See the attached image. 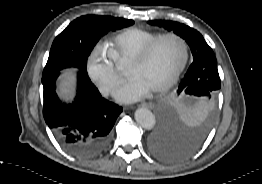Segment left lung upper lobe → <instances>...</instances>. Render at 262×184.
I'll use <instances>...</instances> for the list:
<instances>
[{"instance_id":"left-lung-upper-lobe-1","label":"left lung upper lobe","mask_w":262,"mask_h":184,"mask_svg":"<svg viewBox=\"0 0 262 184\" xmlns=\"http://www.w3.org/2000/svg\"><path fill=\"white\" fill-rule=\"evenodd\" d=\"M149 24L158 25L186 40L190 46L193 63L190 65L185 77L181 80L174 101L188 98L198 101L201 106L209 105L220 89V78L217 68L206 64H198L197 61L203 57L214 55L211 47L206 43L203 36L195 29L182 23L174 21H149ZM161 121L175 129L174 114L170 104H164L160 111ZM209 122H205L194 135H200L208 130Z\"/></svg>"}]
</instances>
